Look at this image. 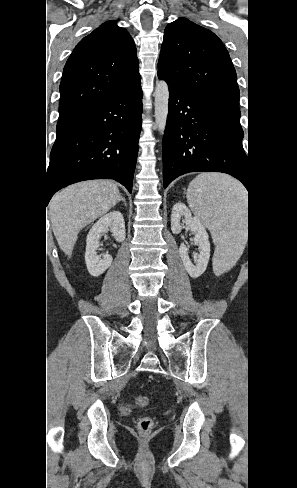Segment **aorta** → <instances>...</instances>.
I'll return each mask as SVG.
<instances>
[{
  "label": "aorta",
  "instance_id": "1",
  "mask_svg": "<svg viewBox=\"0 0 297 488\" xmlns=\"http://www.w3.org/2000/svg\"><path fill=\"white\" fill-rule=\"evenodd\" d=\"M155 121L160 133H164L169 105V88L164 80L156 83L155 87Z\"/></svg>",
  "mask_w": 297,
  "mask_h": 488
}]
</instances>
